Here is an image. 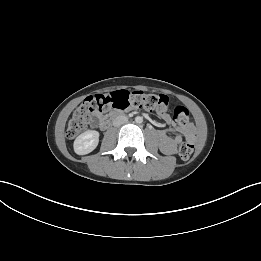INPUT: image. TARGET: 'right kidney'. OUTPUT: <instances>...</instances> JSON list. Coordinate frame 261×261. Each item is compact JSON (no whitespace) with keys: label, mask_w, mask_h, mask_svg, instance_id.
Wrapping results in <instances>:
<instances>
[{"label":"right kidney","mask_w":261,"mask_h":261,"mask_svg":"<svg viewBox=\"0 0 261 261\" xmlns=\"http://www.w3.org/2000/svg\"><path fill=\"white\" fill-rule=\"evenodd\" d=\"M99 132L88 130L80 134L74 141V151L78 155H85L92 152L98 145Z\"/></svg>","instance_id":"1"}]
</instances>
